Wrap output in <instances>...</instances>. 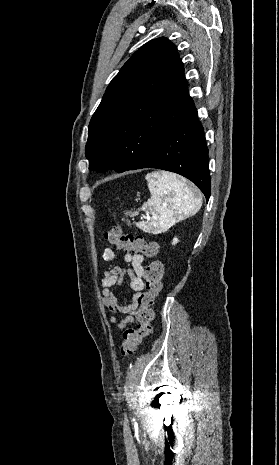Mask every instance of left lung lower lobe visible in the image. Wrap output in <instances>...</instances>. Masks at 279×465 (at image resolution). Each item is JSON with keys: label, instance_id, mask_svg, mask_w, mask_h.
Returning <instances> with one entry per match:
<instances>
[{"label": "left lung lower lobe", "instance_id": "obj_1", "mask_svg": "<svg viewBox=\"0 0 279 465\" xmlns=\"http://www.w3.org/2000/svg\"><path fill=\"white\" fill-rule=\"evenodd\" d=\"M141 168L178 173L195 183L209 199L208 148L192 99L170 130L130 170Z\"/></svg>", "mask_w": 279, "mask_h": 465}]
</instances>
